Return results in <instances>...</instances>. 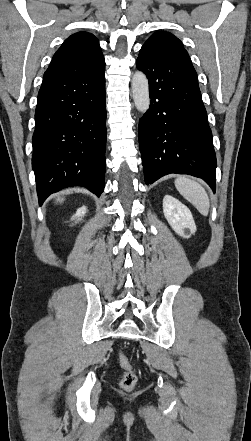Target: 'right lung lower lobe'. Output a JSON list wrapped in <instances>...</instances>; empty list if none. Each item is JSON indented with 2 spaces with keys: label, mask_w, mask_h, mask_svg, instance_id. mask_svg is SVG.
<instances>
[{
  "label": "right lung lower lobe",
  "mask_w": 251,
  "mask_h": 441,
  "mask_svg": "<svg viewBox=\"0 0 251 441\" xmlns=\"http://www.w3.org/2000/svg\"><path fill=\"white\" fill-rule=\"evenodd\" d=\"M105 66L72 77H44L35 111L32 168L39 204L52 193L84 186L104 190Z\"/></svg>",
  "instance_id": "right-lung-lower-lobe-1"
}]
</instances>
